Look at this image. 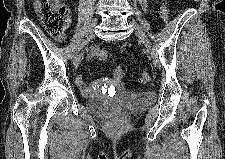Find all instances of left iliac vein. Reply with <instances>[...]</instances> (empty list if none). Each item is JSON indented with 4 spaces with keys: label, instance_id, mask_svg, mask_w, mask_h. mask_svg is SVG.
<instances>
[{
    "label": "left iliac vein",
    "instance_id": "obj_1",
    "mask_svg": "<svg viewBox=\"0 0 225 159\" xmlns=\"http://www.w3.org/2000/svg\"><path fill=\"white\" fill-rule=\"evenodd\" d=\"M136 36L143 42L146 48H150V42L146 36V34L136 25H134Z\"/></svg>",
    "mask_w": 225,
    "mask_h": 159
}]
</instances>
